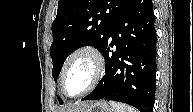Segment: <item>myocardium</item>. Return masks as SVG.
Returning <instances> with one entry per match:
<instances>
[{
    "label": "myocardium",
    "mask_w": 193,
    "mask_h": 112,
    "mask_svg": "<svg viewBox=\"0 0 193 112\" xmlns=\"http://www.w3.org/2000/svg\"><path fill=\"white\" fill-rule=\"evenodd\" d=\"M81 55H85L92 60L94 67L93 76L89 85L83 91H81L78 94L72 95L68 93L66 88V73L71 62ZM104 71H105V59L101 51L96 46L87 44L76 48L68 55L63 64L61 72V86L64 94L72 98H77L86 95L98 85V83L103 77Z\"/></svg>",
    "instance_id": "f54148a6"
}]
</instances>
